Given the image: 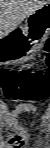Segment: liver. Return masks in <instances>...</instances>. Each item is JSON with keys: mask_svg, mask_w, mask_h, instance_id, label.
Wrapping results in <instances>:
<instances>
[{"mask_svg": "<svg viewBox=\"0 0 50 148\" xmlns=\"http://www.w3.org/2000/svg\"><path fill=\"white\" fill-rule=\"evenodd\" d=\"M49 4L48 0H1L0 33L5 36L14 30L26 17Z\"/></svg>", "mask_w": 50, "mask_h": 148, "instance_id": "1", "label": "liver"}]
</instances>
